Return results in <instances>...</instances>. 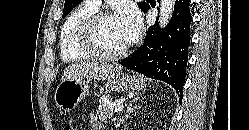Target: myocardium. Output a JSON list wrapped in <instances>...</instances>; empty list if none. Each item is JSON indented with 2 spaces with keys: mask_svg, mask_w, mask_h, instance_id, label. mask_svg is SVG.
I'll return each mask as SVG.
<instances>
[{
  "mask_svg": "<svg viewBox=\"0 0 249 130\" xmlns=\"http://www.w3.org/2000/svg\"><path fill=\"white\" fill-rule=\"evenodd\" d=\"M111 16H113V13L109 10H97L91 14L81 26L79 32L80 46L92 57L107 61H114L125 57L129 52V44L118 52H107L99 46L96 39L98 27L105 19Z\"/></svg>",
  "mask_w": 249,
  "mask_h": 130,
  "instance_id": "1",
  "label": "myocardium"
}]
</instances>
